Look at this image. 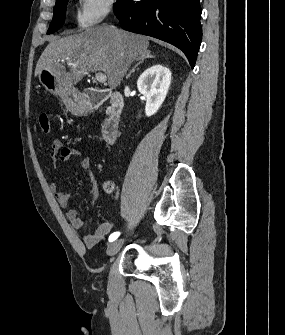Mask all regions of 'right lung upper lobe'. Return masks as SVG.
I'll return each mask as SVG.
<instances>
[{
    "instance_id": "right-lung-upper-lobe-1",
    "label": "right lung upper lobe",
    "mask_w": 285,
    "mask_h": 335,
    "mask_svg": "<svg viewBox=\"0 0 285 335\" xmlns=\"http://www.w3.org/2000/svg\"><path fill=\"white\" fill-rule=\"evenodd\" d=\"M61 1H63V0H56V4L60 3Z\"/></svg>"
}]
</instances>
